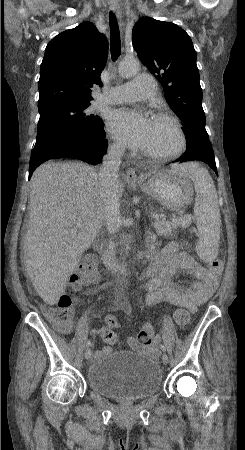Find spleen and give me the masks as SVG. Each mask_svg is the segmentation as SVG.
I'll use <instances>...</instances> for the list:
<instances>
[{"label":"spleen","instance_id":"3e777b00","mask_svg":"<svg viewBox=\"0 0 245 450\" xmlns=\"http://www.w3.org/2000/svg\"><path fill=\"white\" fill-rule=\"evenodd\" d=\"M180 168L181 173L194 182V213L200 235L196 251L202 260L209 262L217 257L220 243L221 217L214 181L209 172L197 163H187Z\"/></svg>","mask_w":245,"mask_h":450}]
</instances>
